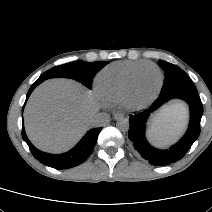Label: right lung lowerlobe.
Returning a JSON list of instances; mask_svg holds the SVG:
<instances>
[{"mask_svg": "<svg viewBox=\"0 0 212 212\" xmlns=\"http://www.w3.org/2000/svg\"><path fill=\"white\" fill-rule=\"evenodd\" d=\"M44 80L46 79L39 77L37 81L32 84L27 93L26 101L36 86H38ZM101 129L102 128H94L89 130L73 149L67 153L59 155L45 153L36 149L28 140L24 127H22V137L28 144L33 156L42 164L56 169H67L81 164L88 158L96 144Z\"/></svg>", "mask_w": 212, "mask_h": 212, "instance_id": "98d812e1", "label": "right lung lower lobe"}]
</instances>
